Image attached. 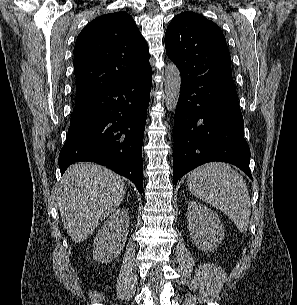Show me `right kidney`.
<instances>
[{
  "instance_id": "1",
  "label": "right kidney",
  "mask_w": 297,
  "mask_h": 305,
  "mask_svg": "<svg viewBox=\"0 0 297 305\" xmlns=\"http://www.w3.org/2000/svg\"><path fill=\"white\" fill-rule=\"evenodd\" d=\"M128 220V210L120 208L104 222L93 243L95 260L108 263L120 254L128 235Z\"/></svg>"
}]
</instances>
